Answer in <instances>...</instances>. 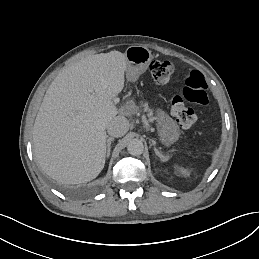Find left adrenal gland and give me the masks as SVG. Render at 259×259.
Listing matches in <instances>:
<instances>
[{
    "label": "left adrenal gland",
    "mask_w": 259,
    "mask_h": 259,
    "mask_svg": "<svg viewBox=\"0 0 259 259\" xmlns=\"http://www.w3.org/2000/svg\"><path fill=\"white\" fill-rule=\"evenodd\" d=\"M155 154H156L160 159H163V161H167V158H165L163 155H161V154L159 153V151L156 150V149H155ZM167 157L169 158L170 156L167 155Z\"/></svg>",
    "instance_id": "1"
}]
</instances>
